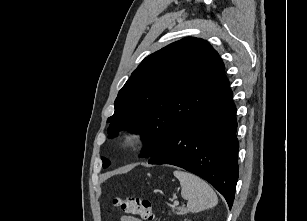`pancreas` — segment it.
Segmentation results:
<instances>
[{
	"label": "pancreas",
	"instance_id": "1",
	"mask_svg": "<svg viewBox=\"0 0 307 221\" xmlns=\"http://www.w3.org/2000/svg\"><path fill=\"white\" fill-rule=\"evenodd\" d=\"M173 212L176 213V214H179V215H184V214H186L187 210H186L185 207H179V208H177V211L173 210Z\"/></svg>",
	"mask_w": 307,
	"mask_h": 221
}]
</instances>
